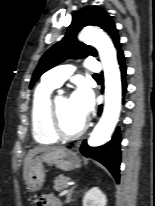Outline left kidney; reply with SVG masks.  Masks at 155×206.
I'll return each instance as SVG.
<instances>
[{
  "instance_id": "5707ae66",
  "label": "left kidney",
  "mask_w": 155,
  "mask_h": 206,
  "mask_svg": "<svg viewBox=\"0 0 155 206\" xmlns=\"http://www.w3.org/2000/svg\"><path fill=\"white\" fill-rule=\"evenodd\" d=\"M105 194L98 188L88 190L83 197V206H106Z\"/></svg>"
}]
</instances>
